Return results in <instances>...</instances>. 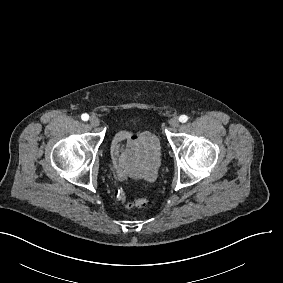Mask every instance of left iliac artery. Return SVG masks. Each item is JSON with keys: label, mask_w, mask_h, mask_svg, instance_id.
<instances>
[{"label": "left iliac artery", "mask_w": 283, "mask_h": 283, "mask_svg": "<svg viewBox=\"0 0 283 283\" xmlns=\"http://www.w3.org/2000/svg\"><path fill=\"white\" fill-rule=\"evenodd\" d=\"M187 120H188V117L186 115H181L179 117V121L182 122V123H185Z\"/></svg>", "instance_id": "44dca946"}]
</instances>
